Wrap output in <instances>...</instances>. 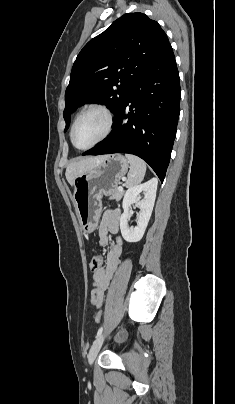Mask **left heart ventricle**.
<instances>
[{"label": "left heart ventricle", "instance_id": "left-heart-ventricle-1", "mask_svg": "<svg viewBox=\"0 0 235 404\" xmlns=\"http://www.w3.org/2000/svg\"><path fill=\"white\" fill-rule=\"evenodd\" d=\"M106 118L100 112H89L83 115L74 130V143L78 147H87L95 142L104 132Z\"/></svg>", "mask_w": 235, "mask_h": 404}]
</instances>
